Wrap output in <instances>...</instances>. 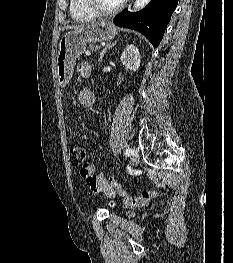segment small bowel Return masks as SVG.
Segmentation results:
<instances>
[{"label":"small bowel","instance_id":"1","mask_svg":"<svg viewBox=\"0 0 233 263\" xmlns=\"http://www.w3.org/2000/svg\"><path fill=\"white\" fill-rule=\"evenodd\" d=\"M77 71L80 76L86 77L90 75L91 68L87 63H80L77 67ZM94 171H95V167L92 163H86L85 167L81 168L80 170V174L86 180V182H87L86 174L95 177L96 179L95 184L92 185L87 182L90 189L96 193H105L109 195L114 194L112 187L108 184L104 176L102 174L95 175Z\"/></svg>","mask_w":233,"mask_h":263}]
</instances>
